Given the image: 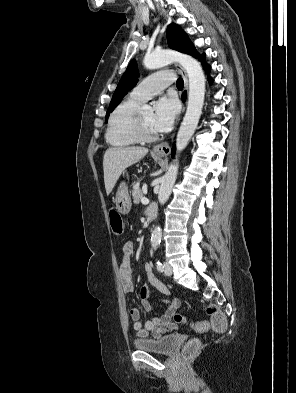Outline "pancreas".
I'll use <instances>...</instances> for the list:
<instances>
[{
    "instance_id": "pancreas-1",
    "label": "pancreas",
    "mask_w": 296,
    "mask_h": 393,
    "mask_svg": "<svg viewBox=\"0 0 296 393\" xmlns=\"http://www.w3.org/2000/svg\"><path fill=\"white\" fill-rule=\"evenodd\" d=\"M132 198L135 204H139L143 198V192L138 185H134L132 189Z\"/></svg>"
}]
</instances>
